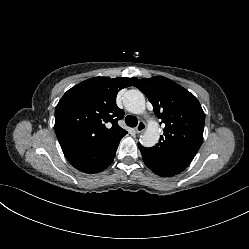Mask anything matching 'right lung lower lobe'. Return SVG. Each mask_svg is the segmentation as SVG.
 <instances>
[{"mask_svg": "<svg viewBox=\"0 0 249 249\" xmlns=\"http://www.w3.org/2000/svg\"><path fill=\"white\" fill-rule=\"evenodd\" d=\"M121 139L122 137L95 148L63 150V153L76 169L85 173H98L113 162Z\"/></svg>", "mask_w": 249, "mask_h": 249, "instance_id": "right-lung-lower-lobe-1", "label": "right lung lower lobe"}]
</instances>
